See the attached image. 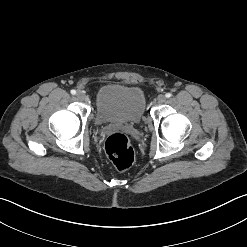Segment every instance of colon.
I'll use <instances>...</instances> for the list:
<instances>
[{"label": "colon", "mask_w": 247, "mask_h": 247, "mask_svg": "<svg viewBox=\"0 0 247 247\" xmlns=\"http://www.w3.org/2000/svg\"><path fill=\"white\" fill-rule=\"evenodd\" d=\"M105 151L109 160L120 171L133 164L134 150L129 138L122 133H113L105 141Z\"/></svg>", "instance_id": "5ec220e1"}]
</instances>
